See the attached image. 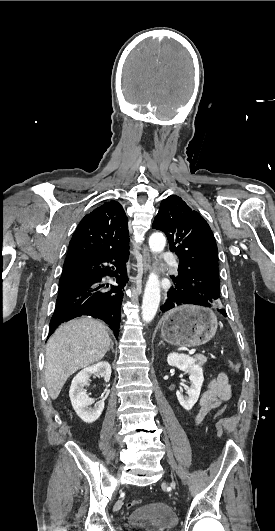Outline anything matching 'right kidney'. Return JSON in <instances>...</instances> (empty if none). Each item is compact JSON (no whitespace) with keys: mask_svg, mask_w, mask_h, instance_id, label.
Listing matches in <instances>:
<instances>
[{"mask_svg":"<svg viewBox=\"0 0 275 531\" xmlns=\"http://www.w3.org/2000/svg\"><path fill=\"white\" fill-rule=\"evenodd\" d=\"M94 373H99L101 377H104L105 383H109L112 373L111 365L106 363V361H101V363H97V365L82 369V371L72 379L69 391L71 405L76 415H78L84 423H94V421H97L104 409V401H99L97 407L90 409L89 405H93L95 401L94 399H90L83 389L85 385H88V381H90V377L91 375H94Z\"/></svg>","mask_w":275,"mask_h":531,"instance_id":"right-kidney-1","label":"right kidney"}]
</instances>
